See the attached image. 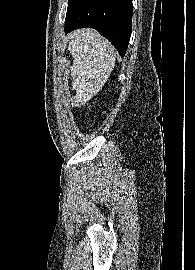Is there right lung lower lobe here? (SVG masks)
<instances>
[{"mask_svg": "<svg viewBox=\"0 0 195 270\" xmlns=\"http://www.w3.org/2000/svg\"><path fill=\"white\" fill-rule=\"evenodd\" d=\"M132 0H74L67 8L65 33L90 27L124 56L132 32Z\"/></svg>", "mask_w": 195, "mask_h": 270, "instance_id": "right-lung-lower-lobe-1", "label": "right lung lower lobe"}]
</instances>
